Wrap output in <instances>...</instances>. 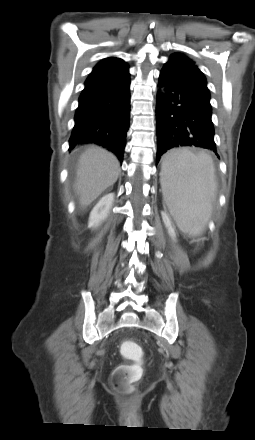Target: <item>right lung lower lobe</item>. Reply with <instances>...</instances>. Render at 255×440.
<instances>
[{"mask_svg": "<svg viewBox=\"0 0 255 440\" xmlns=\"http://www.w3.org/2000/svg\"><path fill=\"white\" fill-rule=\"evenodd\" d=\"M129 86L127 65L85 82L69 140L71 148L76 144L96 143L123 161L130 120Z\"/></svg>", "mask_w": 255, "mask_h": 440, "instance_id": "98d812e1", "label": "right lung lower lobe"}]
</instances>
